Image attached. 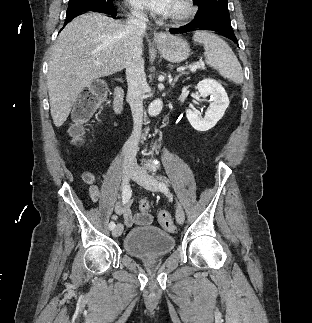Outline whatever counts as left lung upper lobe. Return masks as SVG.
I'll list each match as a JSON object with an SVG mask.
<instances>
[{"label": "left lung upper lobe", "mask_w": 312, "mask_h": 323, "mask_svg": "<svg viewBox=\"0 0 312 323\" xmlns=\"http://www.w3.org/2000/svg\"><path fill=\"white\" fill-rule=\"evenodd\" d=\"M194 3L198 5V11L192 23L217 17L230 18L227 0H194Z\"/></svg>", "instance_id": "left-lung-upper-lobe-1"}]
</instances>
